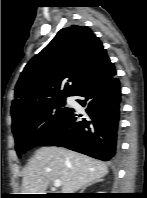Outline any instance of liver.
Listing matches in <instances>:
<instances>
[{"label": "liver", "mask_w": 147, "mask_h": 198, "mask_svg": "<svg viewBox=\"0 0 147 198\" xmlns=\"http://www.w3.org/2000/svg\"><path fill=\"white\" fill-rule=\"evenodd\" d=\"M105 163L57 146L38 149L30 159L22 179V194H46L48 185L61 181V193H74L108 173Z\"/></svg>", "instance_id": "obj_1"}]
</instances>
